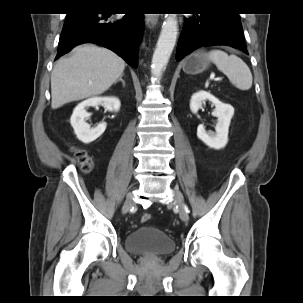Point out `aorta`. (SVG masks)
<instances>
[{
    "mask_svg": "<svg viewBox=\"0 0 303 303\" xmlns=\"http://www.w3.org/2000/svg\"><path fill=\"white\" fill-rule=\"evenodd\" d=\"M178 35V24L175 14H167L163 23L156 49L152 57L151 73L160 78L169 61Z\"/></svg>",
    "mask_w": 303,
    "mask_h": 303,
    "instance_id": "aorta-1",
    "label": "aorta"
}]
</instances>
